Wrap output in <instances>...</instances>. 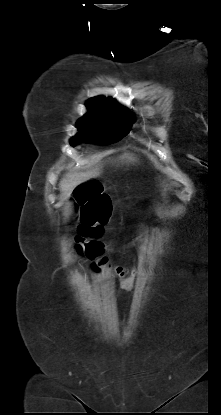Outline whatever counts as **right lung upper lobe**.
<instances>
[{
    "label": "right lung upper lobe",
    "mask_w": 221,
    "mask_h": 415,
    "mask_svg": "<svg viewBox=\"0 0 221 415\" xmlns=\"http://www.w3.org/2000/svg\"><path fill=\"white\" fill-rule=\"evenodd\" d=\"M87 107L95 109H105L110 111H126V108L120 106L118 102L113 98H105L103 96H97L89 99L86 103ZM130 113V112H129Z\"/></svg>",
    "instance_id": "1"
}]
</instances>
